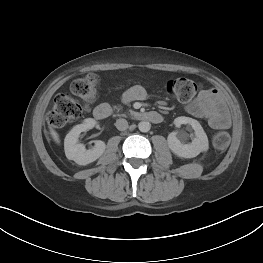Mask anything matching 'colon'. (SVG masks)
I'll return each instance as SVG.
<instances>
[{
	"label": "colon",
	"mask_w": 263,
	"mask_h": 263,
	"mask_svg": "<svg viewBox=\"0 0 263 263\" xmlns=\"http://www.w3.org/2000/svg\"><path fill=\"white\" fill-rule=\"evenodd\" d=\"M98 77L94 74L75 80L70 86L73 96L89 104L97 97ZM170 96L180 102L191 101L199 90V84L189 78L179 77L168 81L166 86ZM69 94H59L54 98L53 106L49 112V124L54 128H61L80 118L84 112L82 104ZM230 143L228 132L220 130L213 134L212 144L218 151L225 150Z\"/></svg>",
	"instance_id": "colon-1"
}]
</instances>
